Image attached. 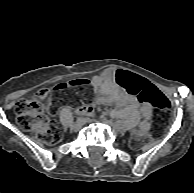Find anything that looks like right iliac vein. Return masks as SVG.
I'll return each mask as SVG.
<instances>
[{"instance_id": "63e3f726", "label": "right iliac vein", "mask_w": 194, "mask_h": 193, "mask_svg": "<svg viewBox=\"0 0 194 193\" xmlns=\"http://www.w3.org/2000/svg\"><path fill=\"white\" fill-rule=\"evenodd\" d=\"M83 125H84V120H82V121H80V122L74 123V124L72 125L71 128H72L74 131H79V130L82 128Z\"/></svg>"}]
</instances>
